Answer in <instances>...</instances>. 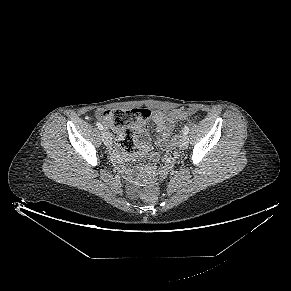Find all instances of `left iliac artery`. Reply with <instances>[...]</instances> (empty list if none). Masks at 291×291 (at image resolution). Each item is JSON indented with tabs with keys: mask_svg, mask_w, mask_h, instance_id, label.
<instances>
[{
	"mask_svg": "<svg viewBox=\"0 0 291 291\" xmlns=\"http://www.w3.org/2000/svg\"><path fill=\"white\" fill-rule=\"evenodd\" d=\"M183 133H184L185 135H188V133H189V126H185V127H184Z\"/></svg>",
	"mask_w": 291,
	"mask_h": 291,
	"instance_id": "44dca946",
	"label": "left iliac artery"
}]
</instances>
